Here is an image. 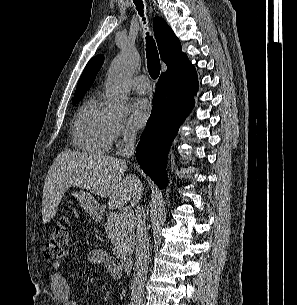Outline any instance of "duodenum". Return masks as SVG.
<instances>
[{
    "label": "duodenum",
    "mask_w": 297,
    "mask_h": 305,
    "mask_svg": "<svg viewBox=\"0 0 297 305\" xmlns=\"http://www.w3.org/2000/svg\"><path fill=\"white\" fill-rule=\"evenodd\" d=\"M122 268L126 273H130L133 268V260L131 257L124 256L121 258Z\"/></svg>",
    "instance_id": "410a0bca"
}]
</instances>
